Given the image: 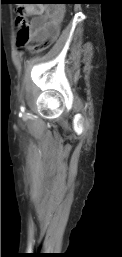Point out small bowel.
<instances>
[{
    "label": "small bowel",
    "instance_id": "small-bowel-1",
    "mask_svg": "<svg viewBox=\"0 0 122 257\" xmlns=\"http://www.w3.org/2000/svg\"><path fill=\"white\" fill-rule=\"evenodd\" d=\"M26 12L33 18L28 22V40L30 43H39L51 38L56 24H62L65 9L48 6H27ZM54 40V39H53Z\"/></svg>",
    "mask_w": 122,
    "mask_h": 257
}]
</instances>
